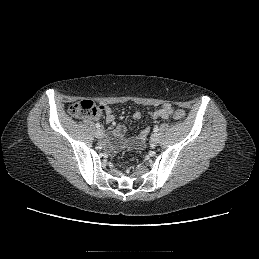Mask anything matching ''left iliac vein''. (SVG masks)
<instances>
[{
    "instance_id": "obj_1",
    "label": "left iliac vein",
    "mask_w": 259,
    "mask_h": 259,
    "mask_svg": "<svg viewBox=\"0 0 259 259\" xmlns=\"http://www.w3.org/2000/svg\"><path fill=\"white\" fill-rule=\"evenodd\" d=\"M150 141L153 144H157L159 142V135L157 133L152 134Z\"/></svg>"
}]
</instances>
